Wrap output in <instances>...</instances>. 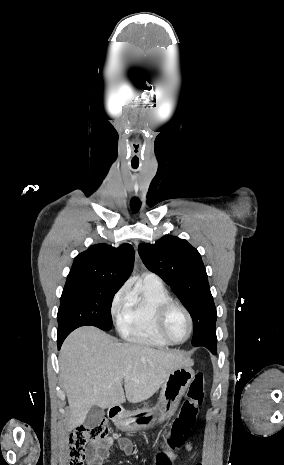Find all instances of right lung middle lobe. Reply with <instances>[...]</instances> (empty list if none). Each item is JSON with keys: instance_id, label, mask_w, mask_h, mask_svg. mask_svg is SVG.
Listing matches in <instances>:
<instances>
[{"instance_id": "1", "label": "right lung middle lobe", "mask_w": 284, "mask_h": 465, "mask_svg": "<svg viewBox=\"0 0 284 465\" xmlns=\"http://www.w3.org/2000/svg\"><path fill=\"white\" fill-rule=\"evenodd\" d=\"M118 288L87 280H67L58 310V333L91 325L111 330V302Z\"/></svg>"}]
</instances>
